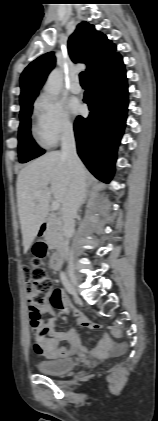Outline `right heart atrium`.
Wrapping results in <instances>:
<instances>
[{"mask_svg":"<svg viewBox=\"0 0 158 421\" xmlns=\"http://www.w3.org/2000/svg\"><path fill=\"white\" fill-rule=\"evenodd\" d=\"M35 108L40 128L48 142L55 144L72 133V120L61 102L43 94L37 99Z\"/></svg>","mask_w":158,"mask_h":421,"instance_id":"d8ad5b80","label":"right heart atrium"}]
</instances>
